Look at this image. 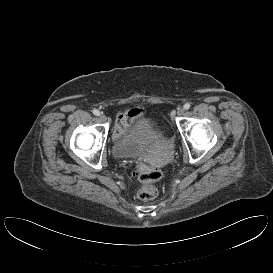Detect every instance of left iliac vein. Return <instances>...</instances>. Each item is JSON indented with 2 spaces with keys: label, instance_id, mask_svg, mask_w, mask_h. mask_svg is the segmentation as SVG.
I'll return each instance as SVG.
<instances>
[{
  "label": "left iliac vein",
  "instance_id": "1",
  "mask_svg": "<svg viewBox=\"0 0 273 273\" xmlns=\"http://www.w3.org/2000/svg\"><path fill=\"white\" fill-rule=\"evenodd\" d=\"M184 114V109L182 108V107H179L178 109H177V115L178 116H182Z\"/></svg>",
  "mask_w": 273,
  "mask_h": 273
}]
</instances>
